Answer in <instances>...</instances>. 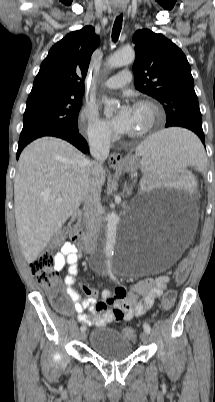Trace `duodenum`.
<instances>
[{
	"mask_svg": "<svg viewBox=\"0 0 215 402\" xmlns=\"http://www.w3.org/2000/svg\"><path fill=\"white\" fill-rule=\"evenodd\" d=\"M81 213L76 211L72 214L68 225L67 234L69 238L84 252L91 253L94 251L95 243L91 238L86 237L80 230ZM103 271H107V267H101Z\"/></svg>",
	"mask_w": 215,
	"mask_h": 402,
	"instance_id": "obj_1",
	"label": "duodenum"
}]
</instances>
